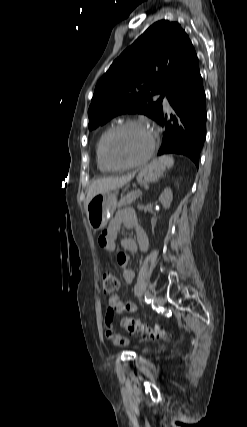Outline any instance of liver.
I'll return each mask as SVG.
<instances>
[{
	"label": "liver",
	"mask_w": 247,
	"mask_h": 427,
	"mask_svg": "<svg viewBox=\"0 0 247 427\" xmlns=\"http://www.w3.org/2000/svg\"><path fill=\"white\" fill-rule=\"evenodd\" d=\"M133 177H134V173L129 174L127 176H122V177H115V178L109 177V178H102V179L93 181L88 189L85 207H87L88 203L97 194L120 188L124 186L126 183H128L129 181H131Z\"/></svg>",
	"instance_id": "6515ba94"
}]
</instances>
